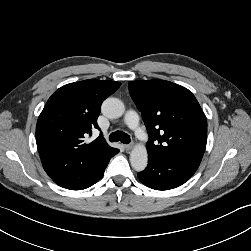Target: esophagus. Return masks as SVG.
I'll return each mask as SVG.
<instances>
[{"label":"esophagus","instance_id":"1","mask_svg":"<svg viewBox=\"0 0 251 251\" xmlns=\"http://www.w3.org/2000/svg\"><path fill=\"white\" fill-rule=\"evenodd\" d=\"M133 147H134L133 144L124 145V148H125L127 151H130Z\"/></svg>","mask_w":251,"mask_h":251}]
</instances>
